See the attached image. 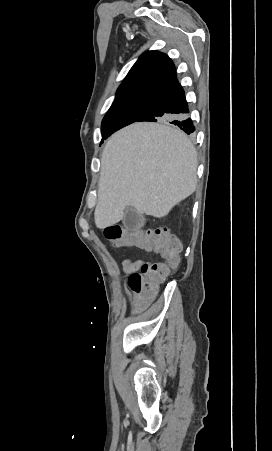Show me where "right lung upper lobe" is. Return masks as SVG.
Masks as SVG:
<instances>
[{
  "instance_id": "cb5924a9",
  "label": "right lung upper lobe",
  "mask_w": 272,
  "mask_h": 451,
  "mask_svg": "<svg viewBox=\"0 0 272 451\" xmlns=\"http://www.w3.org/2000/svg\"><path fill=\"white\" fill-rule=\"evenodd\" d=\"M175 78L174 64L166 54L147 51L129 71L117 90L114 102L133 98H152Z\"/></svg>"
}]
</instances>
